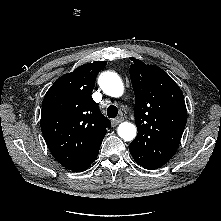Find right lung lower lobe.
Returning a JSON list of instances; mask_svg holds the SVG:
<instances>
[{
  "mask_svg": "<svg viewBox=\"0 0 221 221\" xmlns=\"http://www.w3.org/2000/svg\"><path fill=\"white\" fill-rule=\"evenodd\" d=\"M99 148L95 152H93L91 155H89L83 162H81L80 164H78L77 166H75L74 168L70 170L75 171V172H82L88 169L91 166V163H93L95 159L97 158Z\"/></svg>",
  "mask_w": 221,
  "mask_h": 221,
  "instance_id": "right-lung-lower-lobe-1",
  "label": "right lung lower lobe"
}]
</instances>
